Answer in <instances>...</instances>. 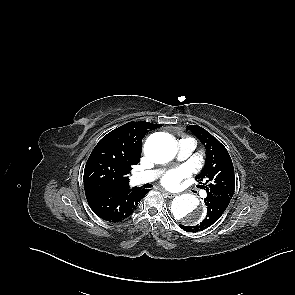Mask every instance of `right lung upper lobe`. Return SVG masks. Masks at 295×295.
I'll return each instance as SVG.
<instances>
[{
    "instance_id": "1",
    "label": "right lung upper lobe",
    "mask_w": 295,
    "mask_h": 295,
    "mask_svg": "<svg viewBox=\"0 0 295 295\" xmlns=\"http://www.w3.org/2000/svg\"><path fill=\"white\" fill-rule=\"evenodd\" d=\"M162 125L149 122H129L105 135L94 149L106 148L117 157L138 164L142 149V139L149 131ZM129 186L128 182L121 184L117 189Z\"/></svg>"
}]
</instances>
